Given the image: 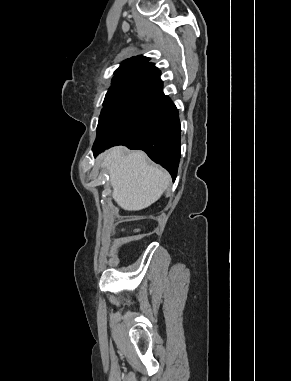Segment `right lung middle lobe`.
Here are the masks:
<instances>
[{
    "mask_svg": "<svg viewBox=\"0 0 291 381\" xmlns=\"http://www.w3.org/2000/svg\"><path fill=\"white\" fill-rule=\"evenodd\" d=\"M142 78H132L110 87L103 103L97 126L98 142H114L120 136V123L136 93Z\"/></svg>",
    "mask_w": 291,
    "mask_h": 381,
    "instance_id": "dd1d6c3e",
    "label": "right lung middle lobe"
}]
</instances>
